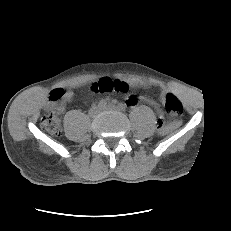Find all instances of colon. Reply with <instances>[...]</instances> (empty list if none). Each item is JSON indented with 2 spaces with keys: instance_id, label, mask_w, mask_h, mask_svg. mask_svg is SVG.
Masks as SVG:
<instances>
[{
  "instance_id": "5ec220e1",
  "label": "colon",
  "mask_w": 231,
  "mask_h": 231,
  "mask_svg": "<svg viewBox=\"0 0 231 231\" xmlns=\"http://www.w3.org/2000/svg\"><path fill=\"white\" fill-rule=\"evenodd\" d=\"M91 89L94 92L99 93H107L111 91L127 92L128 86L121 80L101 79L98 82L93 83ZM60 97L61 92L54 91L51 94V101H55ZM164 102L168 115L177 118L182 114V104L173 93H166ZM41 124L46 131L53 135H58L60 133V120L54 110L49 111L42 117ZM158 129L162 133L166 131V126L162 119H159L158 121Z\"/></svg>"
}]
</instances>
